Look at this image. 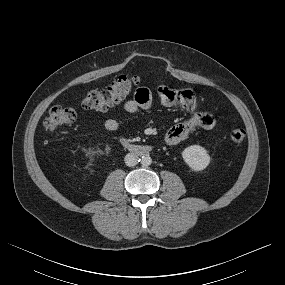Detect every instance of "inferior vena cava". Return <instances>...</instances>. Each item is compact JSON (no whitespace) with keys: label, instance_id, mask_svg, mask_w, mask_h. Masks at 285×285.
Returning <instances> with one entry per match:
<instances>
[{"label":"inferior vena cava","instance_id":"602c4592","mask_svg":"<svg viewBox=\"0 0 285 285\" xmlns=\"http://www.w3.org/2000/svg\"><path fill=\"white\" fill-rule=\"evenodd\" d=\"M125 164L129 167L135 166L138 162V156L133 153H128L124 158Z\"/></svg>","mask_w":285,"mask_h":285}]
</instances>
